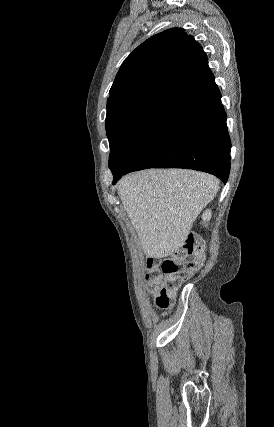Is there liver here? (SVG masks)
<instances>
[{
    "mask_svg": "<svg viewBox=\"0 0 274 427\" xmlns=\"http://www.w3.org/2000/svg\"><path fill=\"white\" fill-rule=\"evenodd\" d=\"M219 180L193 170H144L123 176L117 190L147 257L179 251Z\"/></svg>",
    "mask_w": 274,
    "mask_h": 427,
    "instance_id": "obj_1",
    "label": "liver"
}]
</instances>
